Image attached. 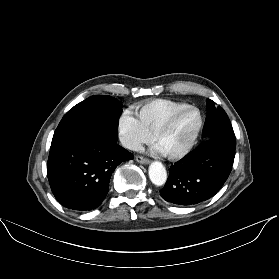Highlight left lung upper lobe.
Here are the masks:
<instances>
[{"mask_svg":"<svg viewBox=\"0 0 279 279\" xmlns=\"http://www.w3.org/2000/svg\"><path fill=\"white\" fill-rule=\"evenodd\" d=\"M208 114L203 127V136L206 140L222 138L230 142H236L235 135L226 112L208 99Z\"/></svg>","mask_w":279,"mask_h":279,"instance_id":"1","label":"left lung upper lobe"}]
</instances>
